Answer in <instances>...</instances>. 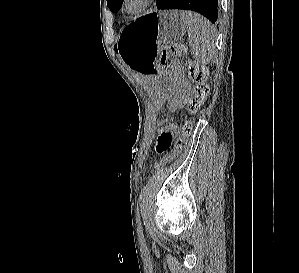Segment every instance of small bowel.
Listing matches in <instances>:
<instances>
[{"mask_svg":"<svg viewBox=\"0 0 299 273\" xmlns=\"http://www.w3.org/2000/svg\"><path fill=\"white\" fill-rule=\"evenodd\" d=\"M177 131V126L172 124L162 130L157 141V151L162 153L170 148L174 133Z\"/></svg>","mask_w":299,"mask_h":273,"instance_id":"obj_1","label":"small bowel"}]
</instances>
